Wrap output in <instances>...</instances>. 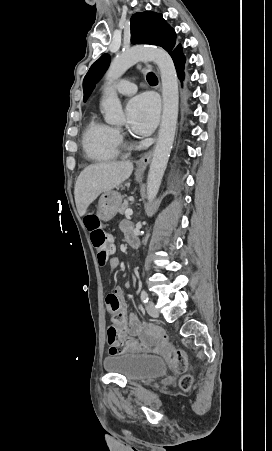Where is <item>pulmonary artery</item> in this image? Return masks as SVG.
I'll return each instance as SVG.
<instances>
[{
    "label": "pulmonary artery",
    "mask_w": 272,
    "mask_h": 451,
    "mask_svg": "<svg viewBox=\"0 0 272 451\" xmlns=\"http://www.w3.org/2000/svg\"><path fill=\"white\" fill-rule=\"evenodd\" d=\"M115 89L118 93L129 96L133 95L136 92L137 87L130 80L123 79L115 85Z\"/></svg>",
    "instance_id": "1"
}]
</instances>
